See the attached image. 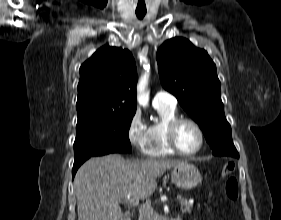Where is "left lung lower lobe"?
<instances>
[{
  "label": "left lung lower lobe",
  "mask_w": 281,
  "mask_h": 220,
  "mask_svg": "<svg viewBox=\"0 0 281 220\" xmlns=\"http://www.w3.org/2000/svg\"><path fill=\"white\" fill-rule=\"evenodd\" d=\"M236 158H238L239 157V154H237V156H235Z\"/></svg>",
  "instance_id": "0a47b994"
}]
</instances>
